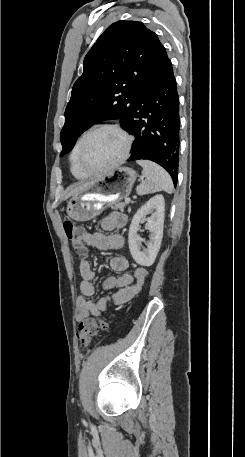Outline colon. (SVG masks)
Masks as SVG:
<instances>
[{
    "mask_svg": "<svg viewBox=\"0 0 245 457\" xmlns=\"http://www.w3.org/2000/svg\"><path fill=\"white\" fill-rule=\"evenodd\" d=\"M63 228L66 237L70 241L74 251L81 256L86 255L87 246L83 238V231L79 229L70 220H65ZM109 322L103 319L86 318L79 323L77 331V339L82 346L88 345L92 338L102 330H106Z\"/></svg>",
    "mask_w": 245,
    "mask_h": 457,
    "instance_id": "colon-1",
    "label": "colon"
}]
</instances>
